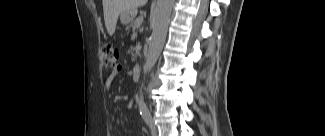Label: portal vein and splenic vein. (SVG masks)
I'll use <instances>...</instances> for the list:
<instances>
[{
	"instance_id": "obj_1",
	"label": "portal vein and splenic vein",
	"mask_w": 325,
	"mask_h": 136,
	"mask_svg": "<svg viewBox=\"0 0 325 136\" xmlns=\"http://www.w3.org/2000/svg\"><path fill=\"white\" fill-rule=\"evenodd\" d=\"M142 21H143V17L138 18L137 19L138 25H140L142 23Z\"/></svg>"
}]
</instances>
